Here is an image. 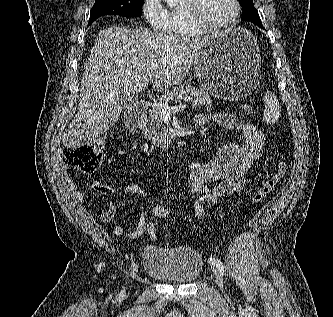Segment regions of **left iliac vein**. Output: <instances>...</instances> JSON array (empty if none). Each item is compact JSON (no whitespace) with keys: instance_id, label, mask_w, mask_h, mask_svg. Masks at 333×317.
Masks as SVG:
<instances>
[{"instance_id":"obj_1","label":"left iliac vein","mask_w":333,"mask_h":317,"mask_svg":"<svg viewBox=\"0 0 333 317\" xmlns=\"http://www.w3.org/2000/svg\"><path fill=\"white\" fill-rule=\"evenodd\" d=\"M211 269L214 273L215 276V281L217 283V285L219 286L220 290H224V284H223V278L221 276V273L219 272V270L215 267V266H211Z\"/></svg>"}]
</instances>
